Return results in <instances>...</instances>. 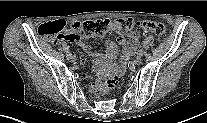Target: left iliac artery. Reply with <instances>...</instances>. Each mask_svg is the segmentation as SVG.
Listing matches in <instances>:
<instances>
[{
	"label": "left iliac artery",
	"mask_w": 207,
	"mask_h": 123,
	"mask_svg": "<svg viewBox=\"0 0 207 123\" xmlns=\"http://www.w3.org/2000/svg\"><path fill=\"white\" fill-rule=\"evenodd\" d=\"M137 55L142 57L144 55V51L142 49L138 50Z\"/></svg>",
	"instance_id": "1"
}]
</instances>
